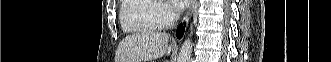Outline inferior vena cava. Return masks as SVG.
<instances>
[{
    "mask_svg": "<svg viewBox=\"0 0 331 62\" xmlns=\"http://www.w3.org/2000/svg\"><path fill=\"white\" fill-rule=\"evenodd\" d=\"M173 18H174V20H178L179 15L178 14H173Z\"/></svg>",
    "mask_w": 331,
    "mask_h": 62,
    "instance_id": "1",
    "label": "inferior vena cava"
}]
</instances>
